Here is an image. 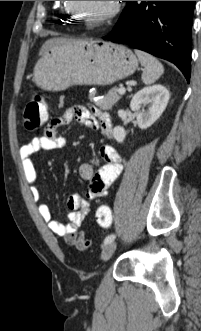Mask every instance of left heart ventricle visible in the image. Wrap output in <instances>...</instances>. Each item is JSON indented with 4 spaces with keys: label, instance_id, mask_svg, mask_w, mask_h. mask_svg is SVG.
<instances>
[{
    "label": "left heart ventricle",
    "instance_id": "left-heart-ventricle-1",
    "mask_svg": "<svg viewBox=\"0 0 201 331\" xmlns=\"http://www.w3.org/2000/svg\"><path fill=\"white\" fill-rule=\"evenodd\" d=\"M75 10L87 19H93L105 13L111 1H72Z\"/></svg>",
    "mask_w": 201,
    "mask_h": 331
}]
</instances>
